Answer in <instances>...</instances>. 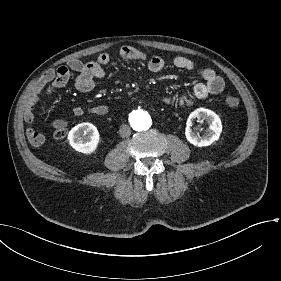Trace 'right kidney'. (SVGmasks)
Listing matches in <instances>:
<instances>
[{
  "instance_id": "ca27d5eb",
  "label": "right kidney",
  "mask_w": 281,
  "mask_h": 281,
  "mask_svg": "<svg viewBox=\"0 0 281 281\" xmlns=\"http://www.w3.org/2000/svg\"><path fill=\"white\" fill-rule=\"evenodd\" d=\"M100 140V134L96 126L84 122L71 129V147L82 154H93Z\"/></svg>"
}]
</instances>
